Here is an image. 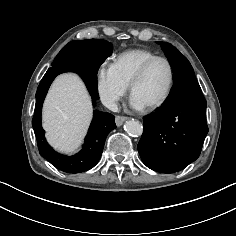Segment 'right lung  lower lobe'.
<instances>
[{"mask_svg":"<svg viewBox=\"0 0 236 236\" xmlns=\"http://www.w3.org/2000/svg\"><path fill=\"white\" fill-rule=\"evenodd\" d=\"M113 51L95 39L75 40L59 52V61L48 69L37 92L32 126L36 135L40 155L59 170L66 173H80L93 168L100 159L107 135L116 128L115 117L107 112L94 111V116L82 150L74 156L57 153L46 142L41 125L43 101L54 78L63 72H76L84 80L93 102L99 98L97 72L100 65Z\"/></svg>","mask_w":236,"mask_h":236,"instance_id":"1","label":"right lung lower lobe"}]
</instances>
